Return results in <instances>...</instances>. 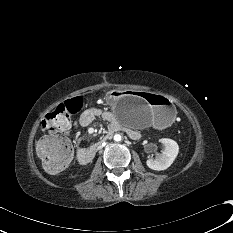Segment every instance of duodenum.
<instances>
[{
	"mask_svg": "<svg viewBox=\"0 0 233 233\" xmlns=\"http://www.w3.org/2000/svg\"><path fill=\"white\" fill-rule=\"evenodd\" d=\"M119 129V127L113 126L107 133L102 135L99 140L92 146L87 147V148H81L78 151V160L81 164H88L90 163L93 158L95 157L98 148L108 140H110L113 136V133ZM130 134L131 132L128 131ZM135 135V134H134Z\"/></svg>",
	"mask_w": 233,
	"mask_h": 233,
	"instance_id": "obj_1",
	"label": "duodenum"
}]
</instances>
